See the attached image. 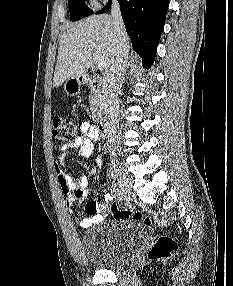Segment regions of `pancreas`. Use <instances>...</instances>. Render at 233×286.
Listing matches in <instances>:
<instances>
[{
    "mask_svg": "<svg viewBox=\"0 0 233 286\" xmlns=\"http://www.w3.org/2000/svg\"><path fill=\"white\" fill-rule=\"evenodd\" d=\"M90 110L94 119H97L101 112V106L103 104V99L98 91H91L89 96Z\"/></svg>",
    "mask_w": 233,
    "mask_h": 286,
    "instance_id": "obj_1",
    "label": "pancreas"
}]
</instances>
